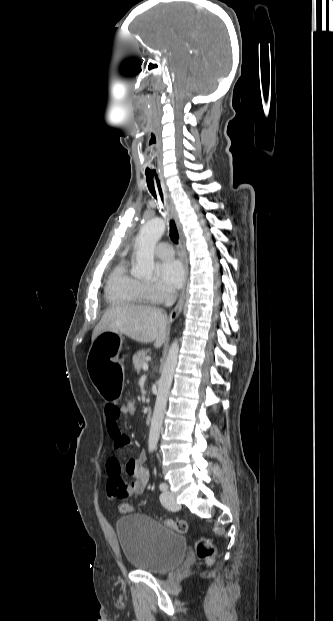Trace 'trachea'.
Instances as JSON below:
<instances>
[{
  "mask_svg": "<svg viewBox=\"0 0 333 621\" xmlns=\"http://www.w3.org/2000/svg\"><path fill=\"white\" fill-rule=\"evenodd\" d=\"M145 175H146L147 186L152 196L155 199H157V195H159L161 196V199L163 201V194H162V190L160 187L158 176L156 174L154 175L152 173H147V172L145 173ZM169 224H170V233H169L170 238L175 244H178L179 234H178V230H177L174 220L171 219L169 221Z\"/></svg>",
  "mask_w": 333,
  "mask_h": 621,
  "instance_id": "3493384b",
  "label": "trachea"
}]
</instances>
